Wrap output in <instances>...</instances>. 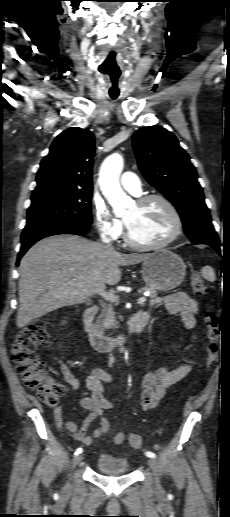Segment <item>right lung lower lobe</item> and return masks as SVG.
<instances>
[{
	"label": "right lung lower lobe",
	"instance_id": "98d812e1",
	"mask_svg": "<svg viewBox=\"0 0 230 517\" xmlns=\"http://www.w3.org/2000/svg\"><path fill=\"white\" fill-rule=\"evenodd\" d=\"M90 225H80L69 221H43L26 225L21 235V249L17 265L25 252L38 240L57 234H76L85 236Z\"/></svg>",
	"mask_w": 230,
	"mask_h": 517
}]
</instances>
